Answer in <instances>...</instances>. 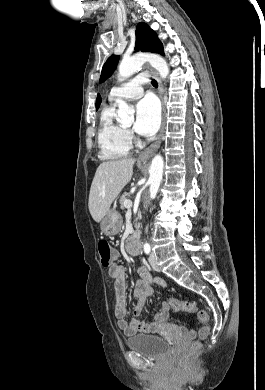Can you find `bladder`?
Returning a JSON list of instances; mask_svg holds the SVG:
<instances>
[{
    "label": "bladder",
    "mask_w": 265,
    "mask_h": 390,
    "mask_svg": "<svg viewBox=\"0 0 265 390\" xmlns=\"http://www.w3.org/2000/svg\"><path fill=\"white\" fill-rule=\"evenodd\" d=\"M126 345L129 349L152 359H161L171 350L168 342L155 335H135L126 340Z\"/></svg>",
    "instance_id": "31cf9c89"
}]
</instances>
